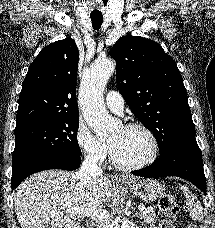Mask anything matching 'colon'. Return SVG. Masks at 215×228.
I'll use <instances>...</instances> for the list:
<instances>
[{
	"instance_id": "colon-1",
	"label": "colon",
	"mask_w": 215,
	"mask_h": 228,
	"mask_svg": "<svg viewBox=\"0 0 215 228\" xmlns=\"http://www.w3.org/2000/svg\"><path fill=\"white\" fill-rule=\"evenodd\" d=\"M158 211L166 215H175L178 212V205L172 195H163L158 201ZM159 228H175L172 219H162ZM186 228H199L198 225H187Z\"/></svg>"
}]
</instances>
